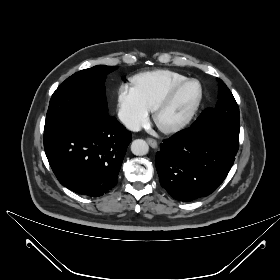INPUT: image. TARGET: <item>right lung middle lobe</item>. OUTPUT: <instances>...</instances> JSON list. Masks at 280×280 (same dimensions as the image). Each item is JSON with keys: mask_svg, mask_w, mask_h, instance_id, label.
<instances>
[{"mask_svg": "<svg viewBox=\"0 0 280 280\" xmlns=\"http://www.w3.org/2000/svg\"><path fill=\"white\" fill-rule=\"evenodd\" d=\"M117 68L98 65L67 78L51 97L45 128L69 118L108 120L104 83L106 76Z\"/></svg>", "mask_w": 280, "mask_h": 280, "instance_id": "right-lung-middle-lobe-1", "label": "right lung middle lobe"}]
</instances>
